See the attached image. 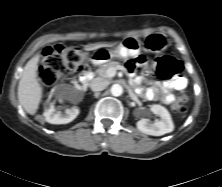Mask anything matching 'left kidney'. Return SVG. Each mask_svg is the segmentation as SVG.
<instances>
[{
	"label": "left kidney",
	"instance_id": "5707ae66",
	"mask_svg": "<svg viewBox=\"0 0 222 187\" xmlns=\"http://www.w3.org/2000/svg\"><path fill=\"white\" fill-rule=\"evenodd\" d=\"M151 111L160 117L153 123L149 119L142 118L137 122V128L145 134L152 136H161L174 130V124L168 110L158 104L151 106Z\"/></svg>",
	"mask_w": 222,
	"mask_h": 187
}]
</instances>
